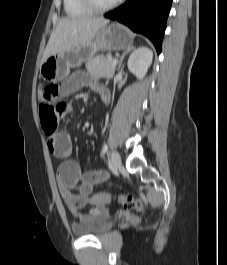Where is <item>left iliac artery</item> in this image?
Wrapping results in <instances>:
<instances>
[{"label": "left iliac artery", "instance_id": "1", "mask_svg": "<svg viewBox=\"0 0 227 265\" xmlns=\"http://www.w3.org/2000/svg\"><path fill=\"white\" fill-rule=\"evenodd\" d=\"M107 150H108V145L107 143H105L102 149V155H104L107 152Z\"/></svg>", "mask_w": 227, "mask_h": 265}]
</instances>
